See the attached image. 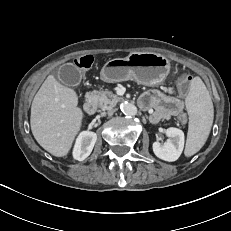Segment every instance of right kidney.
I'll return each mask as SVG.
<instances>
[{"instance_id":"1","label":"right kidney","mask_w":231,"mask_h":231,"mask_svg":"<svg viewBox=\"0 0 231 231\" xmlns=\"http://www.w3.org/2000/svg\"><path fill=\"white\" fill-rule=\"evenodd\" d=\"M97 135L91 131H83L79 134L74 149L73 157L78 161H83L92 152L93 147L96 143Z\"/></svg>"}]
</instances>
